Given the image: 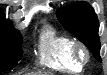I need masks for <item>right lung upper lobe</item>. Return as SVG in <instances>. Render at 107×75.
<instances>
[{
	"label": "right lung upper lobe",
	"mask_w": 107,
	"mask_h": 75,
	"mask_svg": "<svg viewBox=\"0 0 107 75\" xmlns=\"http://www.w3.org/2000/svg\"><path fill=\"white\" fill-rule=\"evenodd\" d=\"M7 25H11V22L9 20H6L3 13L0 12V29L7 26Z\"/></svg>",
	"instance_id": "obj_1"
}]
</instances>
